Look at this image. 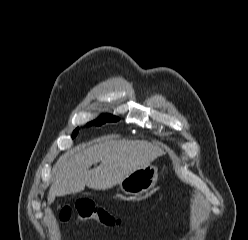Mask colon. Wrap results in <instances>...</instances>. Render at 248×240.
I'll return each instance as SVG.
<instances>
[{
    "instance_id": "5ec220e1",
    "label": "colon",
    "mask_w": 248,
    "mask_h": 240,
    "mask_svg": "<svg viewBox=\"0 0 248 240\" xmlns=\"http://www.w3.org/2000/svg\"><path fill=\"white\" fill-rule=\"evenodd\" d=\"M59 217L63 222L72 219L94 221L109 229L117 228L121 224V219L118 216L86 199L78 201L74 206L62 208Z\"/></svg>"
}]
</instances>
